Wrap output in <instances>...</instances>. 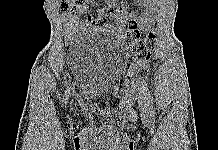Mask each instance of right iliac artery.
<instances>
[{
    "instance_id": "obj_1",
    "label": "right iliac artery",
    "mask_w": 218,
    "mask_h": 150,
    "mask_svg": "<svg viewBox=\"0 0 218 150\" xmlns=\"http://www.w3.org/2000/svg\"><path fill=\"white\" fill-rule=\"evenodd\" d=\"M69 92H70V87L68 86L66 91H65V99H64L65 103L67 102V99L69 97Z\"/></svg>"
}]
</instances>
